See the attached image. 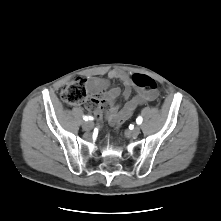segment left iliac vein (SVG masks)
<instances>
[{
    "label": "left iliac vein",
    "instance_id": "4c4485c4",
    "mask_svg": "<svg viewBox=\"0 0 221 221\" xmlns=\"http://www.w3.org/2000/svg\"><path fill=\"white\" fill-rule=\"evenodd\" d=\"M140 127L139 126H136L134 129H132L129 134L130 136L132 137H137L139 134H140Z\"/></svg>",
    "mask_w": 221,
    "mask_h": 221
}]
</instances>
